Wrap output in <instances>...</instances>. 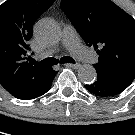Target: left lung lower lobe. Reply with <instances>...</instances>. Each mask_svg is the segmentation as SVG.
Here are the masks:
<instances>
[{
	"label": "left lung lower lobe",
	"instance_id": "obj_1",
	"mask_svg": "<svg viewBox=\"0 0 135 135\" xmlns=\"http://www.w3.org/2000/svg\"><path fill=\"white\" fill-rule=\"evenodd\" d=\"M129 85L117 82L106 75L97 73V80L92 84L85 85V88L100 97L115 96L124 91Z\"/></svg>",
	"mask_w": 135,
	"mask_h": 135
}]
</instances>
